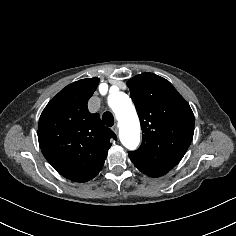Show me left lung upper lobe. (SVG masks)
I'll list each match as a JSON object with an SVG mask.
<instances>
[{"label":"left lung upper lobe","instance_id":"obj_1","mask_svg":"<svg viewBox=\"0 0 236 236\" xmlns=\"http://www.w3.org/2000/svg\"><path fill=\"white\" fill-rule=\"evenodd\" d=\"M142 128V144L129 157L138 169L168 172L186 153L194 134V115L173 85L153 73L127 82Z\"/></svg>","mask_w":236,"mask_h":236}]
</instances>
